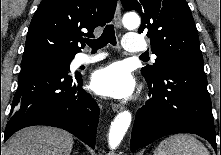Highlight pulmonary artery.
<instances>
[{"mask_svg": "<svg viewBox=\"0 0 221 155\" xmlns=\"http://www.w3.org/2000/svg\"><path fill=\"white\" fill-rule=\"evenodd\" d=\"M123 47L128 52L138 53L146 49V45L142 37L135 33H129L124 36ZM104 56L102 54L89 55L85 53L79 54L75 60V66L88 65L101 60ZM155 57V56H153Z\"/></svg>", "mask_w": 221, "mask_h": 155, "instance_id": "1", "label": "pulmonary artery"}]
</instances>
